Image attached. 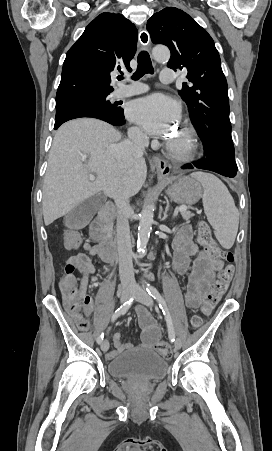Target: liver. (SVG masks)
Masks as SVG:
<instances>
[{"label":"liver","instance_id":"obj_1","mask_svg":"<svg viewBox=\"0 0 272 451\" xmlns=\"http://www.w3.org/2000/svg\"><path fill=\"white\" fill-rule=\"evenodd\" d=\"M119 140L118 130L93 118L71 120L57 130L43 184L45 226L98 192L109 198H115L121 188L128 198L140 192L147 176L146 162L137 158L126 170L121 168L116 160ZM89 174H95L94 182Z\"/></svg>","mask_w":272,"mask_h":451}]
</instances>
